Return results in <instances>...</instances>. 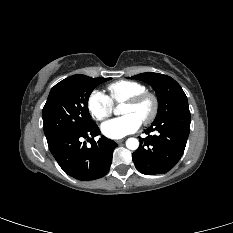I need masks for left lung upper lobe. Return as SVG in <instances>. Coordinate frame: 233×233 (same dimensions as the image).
Returning <instances> with one entry per match:
<instances>
[{"mask_svg":"<svg viewBox=\"0 0 233 233\" xmlns=\"http://www.w3.org/2000/svg\"><path fill=\"white\" fill-rule=\"evenodd\" d=\"M129 78L146 82L155 90L158 98V113L155 121L188 107L187 97L181 86L167 75L147 72Z\"/></svg>","mask_w":233,"mask_h":233,"instance_id":"5c2ea615","label":"left lung upper lobe"}]
</instances>
